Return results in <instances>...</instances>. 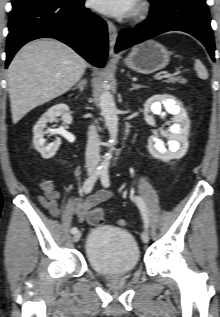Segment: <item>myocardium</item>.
Here are the masks:
<instances>
[{
    "instance_id": "f54148a6",
    "label": "myocardium",
    "mask_w": 220,
    "mask_h": 317,
    "mask_svg": "<svg viewBox=\"0 0 220 317\" xmlns=\"http://www.w3.org/2000/svg\"><path fill=\"white\" fill-rule=\"evenodd\" d=\"M148 11H149V7L147 3L144 0H140L136 6L135 16L137 18H143L147 15Z\"/></svg>"
}]
</instances>
